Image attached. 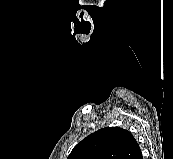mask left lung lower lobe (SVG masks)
Listing matches in <instances>:
<instances>
[{"label":"left lung lower lobe","mask_w":173,"mask_h":159,"mask_svg":"<svg viewBox=\"0 0 173 159\" xmlns=\"http://www.w3.org/2000/svg\"><path fill=\"white\" fill-rule=\"evenodd\" d=\"M135 159H143V156H142V152L140 151V153L136 156Z\"/></svg>","instance_id":"0a47b994"}]
</instances>
